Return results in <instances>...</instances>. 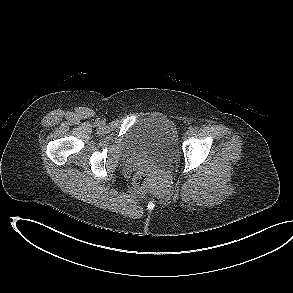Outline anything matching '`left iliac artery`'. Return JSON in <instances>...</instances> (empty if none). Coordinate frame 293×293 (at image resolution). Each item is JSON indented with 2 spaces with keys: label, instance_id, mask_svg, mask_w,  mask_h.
Instances as JSON below:
<instances>
[{
  "label": "left iliac artery",
  "instance_id": "1",
  "mask_svg": "<svg viewBox=\"0 0 293 293\" xmlns=\"http://www.w3.org/2000/svg\"><path fill=\"white\" fill-rule=\"evenodd\" d=\"M193 132H197L198 131V127H193L191 128Z\"/></svg>",
  "mask_w": 293,
  "mask_h": 293
}]
</instances>
